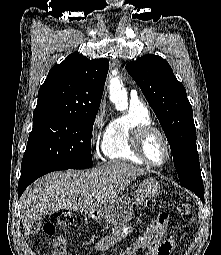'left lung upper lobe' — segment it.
<instances>
[{
    "label": "left lung upper lobe",
    "instance_id": "1",
    "mask_svg": "<svg viewBox=\"0 0 221 255\" xmlns=\"http://www.w3.org/2000/svg\"><path fill=\"white\" fill-rule=\"evenodd\" d=\"M125 68L141 88L164 130L181 185L187 189L204 188L193 111L184 86L160 56L147 54L129 62Z\"/></svg>",
    "mask_w": 221,
    "mask_h": 255
}]
</instances>
